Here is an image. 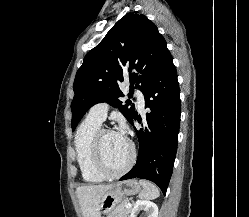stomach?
I'll return each instance as SVG.
<instances>
[{
    "instance_id": "obj_1",
    "label": "stomach",
    "mask_w": 249,
    "mask_h": 217,
    "mask_svg": "<svg viewBox=\"0 0 249 217\" xmlns=\"http://www.w3.org/2000/svg\"><path fill=\"white\" fill-rule=\"evenodd\" d=\"M140 190V184L134 179L117 182L104 193L99 203V209L102 213L109 214L128 196L138 194Z\"/></svg>"
}]
</instances>
